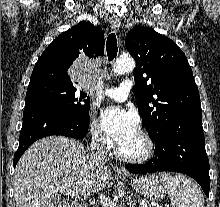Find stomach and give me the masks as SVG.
I'll return each instance as SVG.
<instances>
[{
  "instance_id": "stomach-1",
  "label": "stomach",
  "mask_w": 220,
  "mask_h": 207,
  "mask_svg": "<svg viewBox=\"0 0 220 207\" xmlns=\"http://www.w3.org/2000/svg\"><path fill=\"white\" fill-rule=\"evenodd\" d=\"M123 179H125L127 182H130L136 191L150 200H158L163 198L167 191L165 182L156 175L134 178L123 177Z\"/></svg>"
}]
</instances>
